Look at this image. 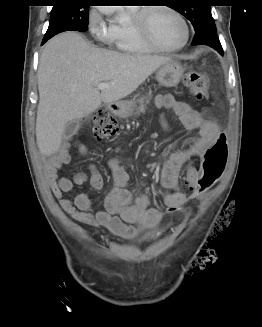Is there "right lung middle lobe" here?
Segmentation results:
<instances>
[{
	"label": "right lung middle lobe",
	"mask_w": 262,
	"mask_h": 327,
	"mask_svg": "<svg viewBox=\"0 0 262 327\" xmlns=\"http://www.w3.org/2000/svg\"><path fill=\"white\" fill-rule=\"evenodd\" d=\"M78 0H58L51 11L48 30L43 43L54 35L69 30L85 32L88 29L89 6L79 5Z\"/></svg>",
	"instance_id": "dd1d6c3e"
}]
</instances>
